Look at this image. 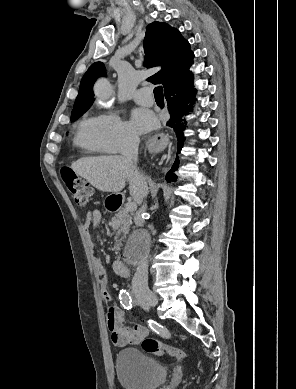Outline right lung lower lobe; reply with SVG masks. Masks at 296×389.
<instances>
[{"label": "right lung lower lobe", "instance_id": "obj_1", "mask_svg": "<svg viewBox=\"0 0 296 389\" xmlns=\"http://www.w3.org/2000/svg\"><path fill=\"white\" fill-rule=\"evenodd\" d=\"M164 93L168 103V110L171 115L167 125L174 129L178 140L177 157L171 170L166 175V180L175 181L176 175L173 171L177 168L178 153H180V150L183 147V131L186 125V121L182 119V117L192 111V105L195 101V89L192 81L187 82L178 80L166 87Z\"/></svg>", "mask_w": 296, "mask_h": 389}]
</instances>
